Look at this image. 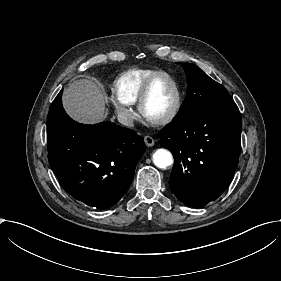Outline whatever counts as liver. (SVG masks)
Returning a JSON list of instances; mask_svg holds the SVG:
<instances>
[{
  "instance_id": "obj_1",
  "label": "liver",
  "mask_w": 281,
  "mask_h": 281,
  "mask_svg": "<svg viewBox=\"0 0 281 281\" xmlns=\"http://www.w3.org/2000/svg\"><path fill=\"white\" fill-rule=\"evenodd\" d=\"M106 99L99 85L91 79L73 81L62 93L66 114L83 125L102 123L108 117Z\"/></svg>"
}]
</instances>
